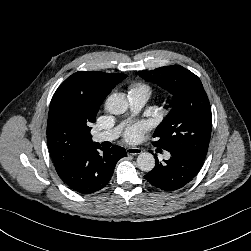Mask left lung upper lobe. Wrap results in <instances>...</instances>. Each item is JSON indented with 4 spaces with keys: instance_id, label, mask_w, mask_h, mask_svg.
<instances>
[{
    "instance_id": "5c2ea615",
    "label": "left lung upper lobe",
    "mask_w": 251,
    "mask_h": 251,
    "mask_svg": "<svg viewBox=\"0 0 251 251\" xmlns=\"http://www.w3.org/2000/svg\"><path fill=\"white\" fill-rule=\"evenodd\" d=\"M173 95L172 109L154 132L153 145L167 151H188L205 159L212 129L211 107L200 79L180 65L139 71Z\"/></svg>"
}]
</instances>
